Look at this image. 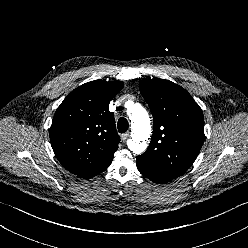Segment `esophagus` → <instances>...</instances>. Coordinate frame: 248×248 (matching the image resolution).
Segmentation results:
<instances>
[{
	"label": "esophagus",
	"mask_w": 248,
	"mask_h": 248,
	"mask_svg": "<svg viewBox=\"0 0 248 248\" xmlns=\"http://www.w3.org/2000/svg\"><path fill=\"white\" fill-rule=\"evenodd\" d=\"M129 138V133H124L121 135V140L126 141Z\"/></svg>",
	"instance_id": "34e87169"
}]
</instances>
